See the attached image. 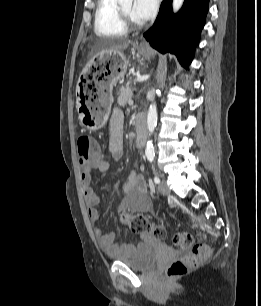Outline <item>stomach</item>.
Segmentation results:
<instances>
[{
    "instance_id": "obj_1",
    "label": "stomach",
    "mask_w": 261,
    "mask_h": 306,
    "mask_svg": "<svg viewBox=\"0 0 261 306\" xmlns=\"http://www.w3.org/2000/svg\"><path fill=\"white\" fill-rule=\"evenodd\" d=\"M146 59L151 57L148 50L137 49ZM90 65L100 67L99 78L79 83L77 87V109L79 119L87 130L102 128L110 114L113 103V88L127 70L128 61L121 51L96 55Z\"/></svg>"
}]
</instances>
